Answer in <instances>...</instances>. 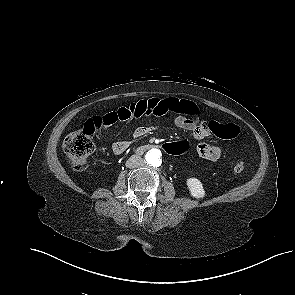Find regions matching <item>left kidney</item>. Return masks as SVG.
<instances>
[{
	"mask_svg": "<svg viewBox=\"0 0 295 295\" xmlns=\"http://www.w3.org/2000/svg\"><path fill=\"white\" fill-rule=\"evenodd\" d=\"M186 183L191 196L197 199L203 198L205 196V191L200 180L197 178H189L187 179Z\"/></svg>",
	"mask_w": 295,
	"mask_h": 295,
	"instance_id": "obj_1",
	"label": "left kidney"
}]
</instances>
